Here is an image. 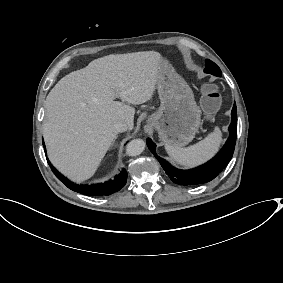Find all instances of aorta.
<instances>
[{
  "mask_svg": "<svg viewBox=\"0 0 283 283\" xmlns=\"http://www.w3.org/2000/svg\"><path fill=\"white\" fill-rule=\"evenodd\" d=\"M145 141L142 139H134L130 141L126 146V154L128 156L140 155L145 149Z\"/></svg>",
  "mask_w": 283,
  "mask_h": 283,
  "instance_id": "762f6f07",
  "label": "aorta"
}]
</instances>
